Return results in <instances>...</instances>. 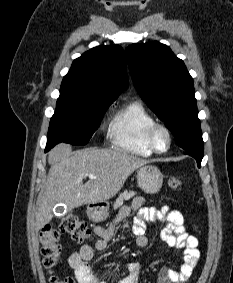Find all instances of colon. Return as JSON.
<instances>
[{"label":"colon","mask_w":233,"mask_h":283,"mask_svg":"<svg viewBox=\"0 0 233 283\" xmlns=\"http://www.w3.org/2000/svg\"><path fill=\"white\" fill-rule=\"evenodd\" d=\"M168 185L174 191L182 188L181 180L176 177H170ZM62 234H69L75 241L82 243L90 237L91 231L86 223L74 215H67L59 222L45 225L40 232V242L43 264L47 269H52L59 262L61 252L59 241ZM50 282L75 283L72 277H58L55 275L51 277Z\"/></svg>","instance_id":"obj_1"}]
</instances>
